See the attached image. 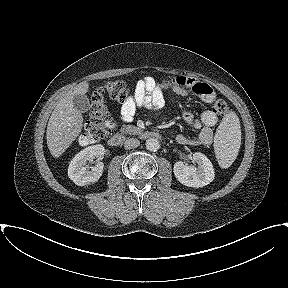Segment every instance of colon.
Instances as JSON below:
<instances>
[{
    "label": "colon",
    "instance_id": "colon-1",
    "mask_svg": "<svg viewBox=\"0 0 288 288\" xmlns=\"http://www.w3.org/2000/svg\"><path fill=\"white\" fill-rule=\"evenodd\" d=\"M106 97L121 104L133 98L125 82L119 79L108 81L96 89L91 95V119L85 123L80 135L83 144L100 142L109 134L111 119L105 104ZM213 110L217 114L224 115L228 112V106L225 101L218 99L214 102Z\"/></svg>",
    "mask_w": 288,
    "mask_h": 288
}]
</instances>
